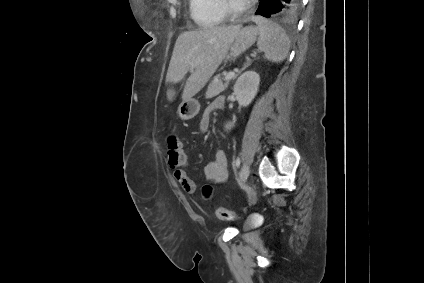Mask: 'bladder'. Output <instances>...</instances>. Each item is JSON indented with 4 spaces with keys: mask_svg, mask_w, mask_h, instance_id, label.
I'll list each match as a JSON object with an SVG mask.
<instances>
[{
    "mask_svg": "<svg viewBox=\"0 0 424 283\" xmlns=\"http://www.w3.org/2000/svg\"><path fill=\"white\" fill-rule=\"evenodd\" d=\"M257 226V223L255 221V219L253 218H248L244 224V229L245 230H251L253 228H255Z\"/></svg>",
    "mask_w": 424,
    "mask_h": 283,
    "instance_id": "31cf9c89",
    "label": "bladder"
}]
</instances>
